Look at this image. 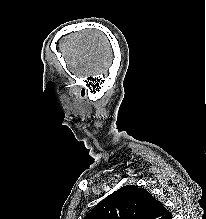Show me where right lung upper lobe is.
<instances>
[{"mask_svg":"<svg viewBox=\"0 0 206 219\" xmlns=\"http://www.w3.org/2000/svg\"><path fill=\"white\" fill-rule=\"evenodd\" d=\"M84 219H172L147 190L124 186L99 202Z\"/></svg>","mask_w":206,"mask_h":219,"instance_id":"1","label":"right lung upper lobe"}]
</instances>
